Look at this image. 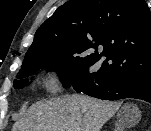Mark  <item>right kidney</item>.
I'll return each mask as SVG.
<instances>
[{"instance_id":"ca27d5eb","label":"right kidney","mask_w":151,"mask_h":131,"mask_svg":"<svg viewBox=\"0 0 151 131\" xmlns=\"http://www.w3.org/2000/svg\"><path fill=\"white\" fill-rule=\"evenodd\" d=\"M134 113L136 114V118L138 119V118H139V117H138V115H139L138 110L136 109ZM139 116H140V115H139ZM137 119H129V120H127L126 123H127V124H134V123L137 122Z\"/></svg>"}]
</instances>
